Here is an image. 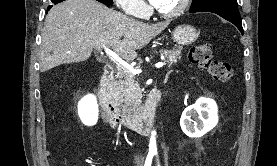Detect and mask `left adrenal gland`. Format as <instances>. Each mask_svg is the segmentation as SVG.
I'll use <instances>...</instances> for the list:
<instances>
[{
    "mask_svg": "<svg viewBox=\"0 0 277 166\" xmlns=\"http://www.w3.org/2000/svg\"><path fill=\"white\" fill-rule=\"evenodd\" d=\"M171 72H172L171 70L167 72V74L165 76V83L168 81V78H169V75Z\"/></svg>",
    "mask_w": 277,
    "mask_h": 166,
    "instance_id": "left-adrenal-gland-1",
    "label": "left adrenal gland"
}]
</instances>
